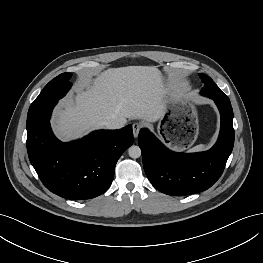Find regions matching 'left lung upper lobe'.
<instances>
[{
    "instance_id": "1",
    "label": "left lung upper lobe",
    "mask_w": 263,
    "mask_h": 263,
    "mask_svg": "<svg viewBox=\"0 0 263 263\" xmlns=\"http://www.w3.org/2000/svg\"><path fill=\"white\" fill-rule=\"evenodd\" d=\"M201 80L205 84V86L201 90V94L208 97H217L220 100H228L229 98L218 88V86L214 83V81L205 74H199Z\"/></svg>"
}]
</instances>
